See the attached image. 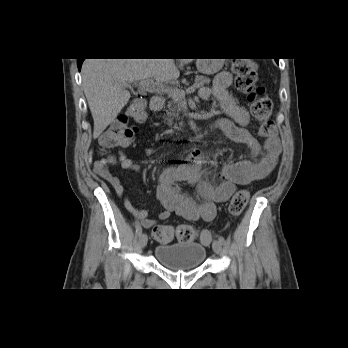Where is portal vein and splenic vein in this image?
Here are the masks:
<instances>
[{
    "instance_id": "18ae733b",
    "label": "portal vein and splenic vein",
    "mask_w": 348,
    "mask_h": 348,
    "mask_svg": "<svg viewBox=\"0 0 348 348\" xmlns=\"http://www.w3.org/2000/svg\"><path fill=\"white\" fill-rule=\"evenodd\" d=\"M138 85L140 88L146 91L165 92L168 95H171L176 101L184 99L186 94L194 93L196 90L194 86H191L184 91L178 88L164 85L162 83L154 82L151 79L141 80Z\"/></svg>"
}]
</instances>
